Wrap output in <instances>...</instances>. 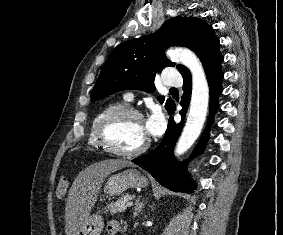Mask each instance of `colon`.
<instances>
[{
    "mask_svg": "<svg viewBox=\"0 0 283 235\" xmlns=\"http://www.w3.org/2000/svg\"><path fill=\"white\" fill-rule=\"evenodd\" d=\"M68 188V182L65 178H61L58 181L57 187H56V196L58 198H61L67 191Z\"/></svg>",
    "mask_w": 283,
    "mask_h": 235,
    "instance_id": "5ec220e1",
    "label": "colon"
}]
</instances>
